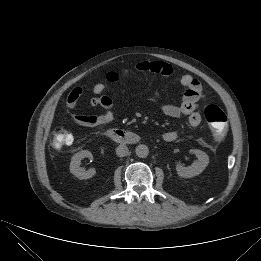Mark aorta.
Wrapping results in <instances>:
<instances>
[{"label":"aorta","instance_id":"762f6f07","mask_svg":"<svg viewBox=\"0 0 261 261\" xmlns=\"http://www.w3.org/2000/svg\"><path fill=\"white\" fill-rule=\"evenodd\" d=\"M135 152L139 158H146L149 154V148L144 144H140L136 147Z\"/></svg>","mask_w":261,"mask_h":261}]
</instances>
